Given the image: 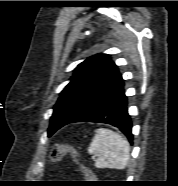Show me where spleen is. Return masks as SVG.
<instances>
[{"instance_id":"spleen-1","label":"spleen","mask_w":178,"mask_h":186,"mask_svg":"<svg viewBox=\"0 0 178 186\" xmlns=\"http://www.w3.org/2000/svg\"><path fill=\"white\" fill-rule=\"evenodd\" d=\"M88 153L96 157L97 168L125 169L130 158V145L118 133L100 128L95 130Z\"/></svg>"}]
</instances>
